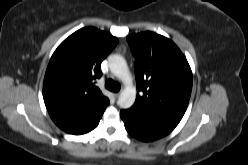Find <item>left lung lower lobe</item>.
<instances>
[{
	"label": "left lung lower lobe",
	"instance_id": "obj_1",
	"mask_svg": "<svg viewBox=\"0 0 248 165\" xmlns=\"http://www.w3.org/2000/svg\"><path fill=\"white\" fill-rule=\"evenodd\" d=\"M120 116L130 135L141 141H153L169 134L173 128L144 119L130 111L122 110Z\"/></svg>",
	"mask_w": 248,
	"mask_h": 165
}]
</instances>
